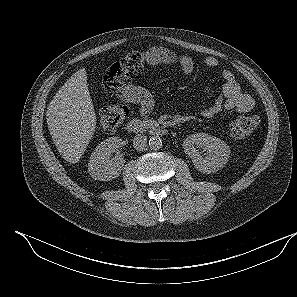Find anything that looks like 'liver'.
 I'll return each instance as SVG.
<instances>
[{
	"label": "liver",
	"mask_w": 297,
	"mask_h": 297,
	"mask_svg": "<svg viewBox=\"0 0 297 297\" xmlns=\"http://www.w3.org/2000/svg\"><path fill=\"white\" fill-rule=\"evenodd\" d=\"M46 118L52 140L62 157L77 163L96 128V114L84 68L74 73L49 103Z\"/></svg>",
	"instance_id": "obj_1"
}]
</instances>
